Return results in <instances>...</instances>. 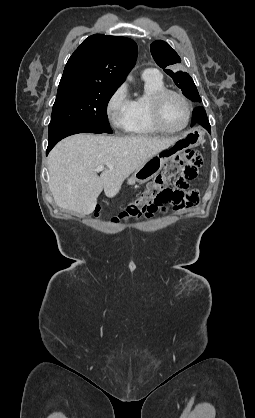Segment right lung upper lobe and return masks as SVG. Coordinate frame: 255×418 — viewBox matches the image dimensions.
Segmentation results:
<instances>
[{"mask_svg":"<svg viewBox=\"0 0 255 418\" xmlns=\"http://www.w3.org/2000/svg\"><path fill=\"white\" fill-rule=\"evenodd\" d=\"M137 58L136 43L126 37L94 34L69 58L59 85L88 84L118 88Z\"/></svg>","mask_w":255,"mask_h":418,"instance_id":"1","label":"right lung upper lobe"}]
</instances>
